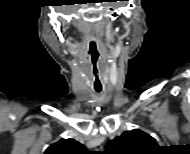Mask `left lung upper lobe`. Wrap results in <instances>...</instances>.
Here are the masks:
<instances>
[{
	"mask_svg": "<svg viewBox=\"0 0 190 154\" xmlns=\"http://www.w3.org/2000/svg\"><path fill=\"white\" fill-rule=\"evenodd\" d=\"M156 140L149 134L135 129L106 144L105 154H149L158 149Z\"/></svg>",
	"mask_w": 190,
	"mask_h": 154,
	"instance_id": "5c2ea615",
	"label": "left lung upper lobe"
}]
</instances>
